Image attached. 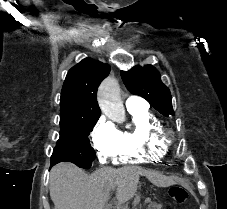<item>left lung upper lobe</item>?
<instances>
[{
  "mask_svg": "<svg viewBox=\"0 0 227 209\" xmlns=\"http://www.w3.org/2000/svg\"><path fill=\"white\" fill-rule=\"evenodd\" d=\"M121 77L132 94L145 98L164 116L174 115L170 91L153 66H135L129 71H121Z\"/></svg>",
  "mask_w": 227,
  "mask_h": 209,
  "instance_id": "1",
  "label": "left lung upper lobe"
}]
</instances>
